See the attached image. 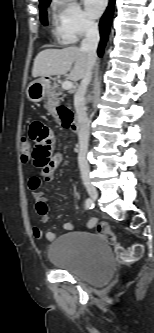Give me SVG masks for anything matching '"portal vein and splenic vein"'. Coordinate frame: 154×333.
<instances>
[{"label": "portal vein and splenic vein", "instance_id": "18ae733b", "mask_svg": "<svg viewBox=\"0 0 154 333\" xmlns=\"http://www.w3.org/2000/svg\"><path fill=\"white\" fill-rule=\"evenodd\" d=\"M62 88L65 89V90H69L71 88H73V82L72 81H64L62 83Z\"/></svg>", "mask_w": 154, "mask_h": 333}]
</instances>
